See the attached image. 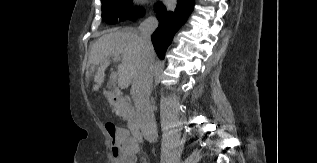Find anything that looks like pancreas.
Wrapping results in <instances>:
<instances>
[{"label": "pancreas", "mask_w": 317, "mask_h": 163, "mask_svg": "<svg viewBox=\"0 0 317 163\" xmlns=\"http://www.w3.org/2000/svg\"><path fill=\"white\" fill-rule=\"evenodd\" d=\"M116 112L123 117L124 120L128 122H134L135 120V111L133 108L123 109V108H116Z\"/></svg>", "instance_id": "obj_1"}]
</instances>
